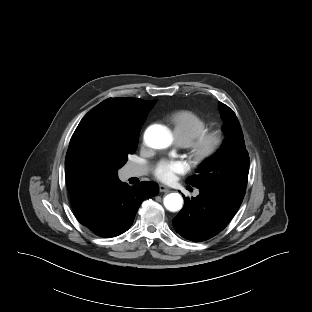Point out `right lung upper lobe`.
<instances>
[{
	"instance_id": "right-lung-upper-lobe-1",
	"label": "right lung upper lobe",
	"mask_w": 312,
	"mask_h": 312,
	"mask_svg": "<svg viewBox=\"0 0 312 312\" xmlns=\"http://www.w3.org/2000/svg\"><path fill=\"white\" fill-rule=\"evenodd\" d=\"M154 103V100L146 101L136 98H108L83 117L72 135L65 160L67 188L75 213L83 211L118 181L117 176L87 177L75 170L71 163V153L82 131L96 123H104L120 129L133 128L146 120L147 113Z\"/></svg>"
}]
</instances>
